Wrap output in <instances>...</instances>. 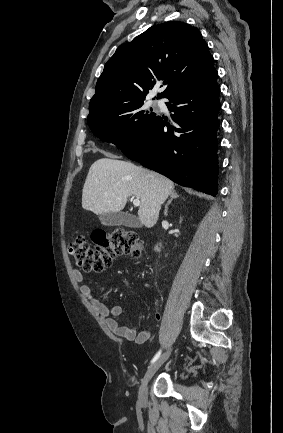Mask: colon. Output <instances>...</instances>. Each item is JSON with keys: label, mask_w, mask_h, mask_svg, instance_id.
Here are the masks:
<instances>
[{"label": "colon", "mask_w": 283, "mask_h": 433, "mask_svg": "<svg viewBox=\"0 0 283 433\" xmlns=\"http://www.w3.org/2000/svg\"><path fill=\"white\" fill-rule=\"evenodd\" d=\"M92 241L94 247L84 235H77L69 244V253L76 264L88 272L105 270L118 255L138 257L143 247L137 233L124 229H116L109 234L94 233Z\"/></svg>", "instance_id": "colon-1"}]
</instances>
